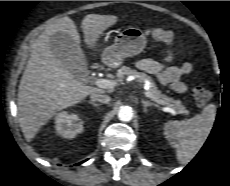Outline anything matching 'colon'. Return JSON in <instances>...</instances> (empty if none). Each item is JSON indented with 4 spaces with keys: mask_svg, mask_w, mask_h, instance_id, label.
Wrapping results in <instances>:
<instances>
[{
    "mask_svg": "<svg viewBox=\"0 0 230 186\" xmlns=\"http://www.w3.org/2000/svg\"><path fill=\"white\" fill-rule=\"evenodd\" d=\"M148 34L152 39L163 43H172L175 38L173 31L165 28H153ZM193 97L197 104L205 105L210 100L211 93L207 88L197 86L193 90Z\"/></svg>",
    "mask_w": 230,
    "mask_h": 186,
    "instance_id": "1",
    "label": "colon"
}]
</instances>
